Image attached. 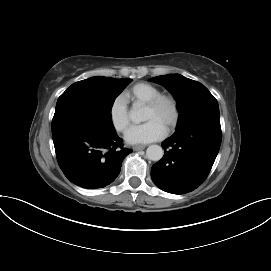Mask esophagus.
I'll return each mask as SVG.
<instances>
[{"mask_svg":"<svg viewBox=\"0 0 271 271\" xmlns=\"http://www.w3.org/2000/svg\"><path fill=\"white\" fill-rule=\"evenodd\" d=\"M145 145H136V146H134L133 147V150L134 151H140V150H143V149H145Z\"/></svg>","mask_w":271,"mask_h":271,"instance_id":"obj_1","label":"esophagus"}]
</instances>
